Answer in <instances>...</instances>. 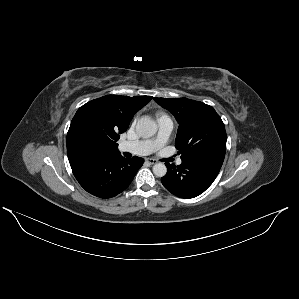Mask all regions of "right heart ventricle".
<instances>
[{
    "mask_svg": "<svg viewBox=\"0 0 299 299\" xmlns=\"http://www.w3.org/2000/svg\"><path fill=\"white\" fill-rule=\"evenodd\" d=\"M158 119L160 118V117H162V116H166V114H164V113H158Z\"/></svg>",
    "mask_w": 299,
    "mask_h": 299,
    "instance_id": "obj_1",
    "label": "right heart ventricle"
}]
</instances>
